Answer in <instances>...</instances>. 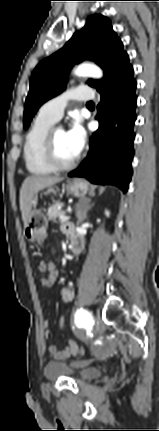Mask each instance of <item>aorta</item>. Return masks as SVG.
Segmentation results:
<instances>
[{"instance_id": "obj_1", "label": "aorta", "mask_w": 159, "mask_h": 431, "mask_svg": "<svg viewBox=\"0 0 159 431\" xmlns=\"http://www.w3.org/2000/svg\"><path fill=\"white\" fill-rule=\"evenodd\" d=\"M75 74L78 76H88L93 78H101L103 75L101 69L92 64L79 65L75 70Z\"/></svg>"}]
</instances>
